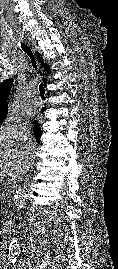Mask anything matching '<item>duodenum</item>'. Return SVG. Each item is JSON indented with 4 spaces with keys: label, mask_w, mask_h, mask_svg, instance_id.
Returning <instances> with one entry per match:
<instances>
[{
    "label": "duodenum",
    "mask_w": 118,
    "mask_h": 269,
    "mask_svg": "<svg viewBox=\"0 0 118 269\" xmlns=\"http://www.w3.org/2000/svg\"><path fill=\"white\" fill-rule=\"evenodd\" d=\"M13 225L14 224H13V221L11 219H6L2 224L3 231L5 233L11 232Z\"/></svg>",
    "instance_id": "duodenum-1"
}]
</instances>
